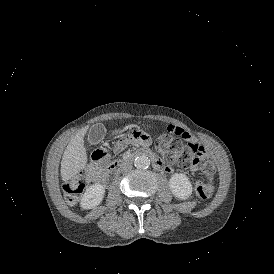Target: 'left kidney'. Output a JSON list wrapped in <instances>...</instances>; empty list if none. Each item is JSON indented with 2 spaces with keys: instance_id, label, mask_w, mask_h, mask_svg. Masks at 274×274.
<instances>
[{
  "instance_id": "left-kidney-1",
  "label": "left kidney",
  "mask_w": 274,
  "mask_h": 274,
  "mask_svg": "<svg viewBox=\"0 0 274 274\" xmlns=\"http://www.w3.org/2000/svg\"><path fill=\"white\" fill-rule=\"evenodd\" d=\"M172 194L182 200L189 198L192 194V184L183 173H175L169 180Z\"/></svg>"
}]
</instances>
